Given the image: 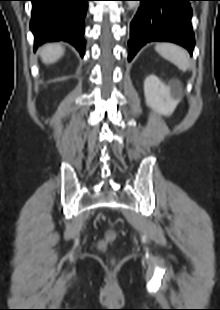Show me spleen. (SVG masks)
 <instances>
[{
  "mask_svg": "<svg viewBox=\"0 0 220 310\" xmlns=\"http://www.w3.org/2000/svg\"><path fill=\"white\" fill-rule=\"evenodd\" d=\"M155 49L163 58L172 62L180 70L186 71L190 68L188 54L183 48L171 43H160L156 45Z\"/></svg>",
  "mask_w": 220,
  "mask_h": 310,
  "instance_id": "3e777b00",
  "label": "spleen"
}]
</instances>
